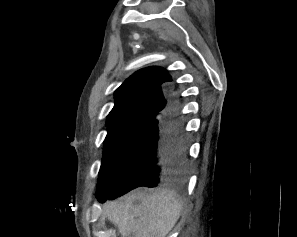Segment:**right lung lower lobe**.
<instances>
[{"instance_id": "98d812e1", "label": "right lung lower lobe", "mask_w": 297, "mask_h": 237, "mask_svg": "<svg viewBox=\"0 0 297 237\" xmlns=\"http://www.w3.org/2000/svg\"><path fill=\"white\" fill-rule=\"evenodd\" d=\"M180 102L170 96L168 107L151 119L149 126L127 157L119 183L97 192V199L120 197L140 186L156 187L184 172L186 144Z\"/></svg>"}]
</instances>
